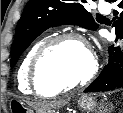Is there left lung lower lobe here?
<instances>
[{
  "label": "left lung lower lobe",
  "instance_id": "0a47b994",
  "mask_svg": "<svg viewBox=\"0 0 123 113\" xmlns=\"http://www.w3.org/2000/svg\"><path fill=\"white\" fill-rule=\"evenodd\" d=\"M115 3L116 39L123 38V0H111ZM123 87V53L117 47L109 46L108 63L100 75L84 90V92H100Z\"/></svg>",
  "mask_w": 123,
  "mask_h": 113
}]
</instances>
